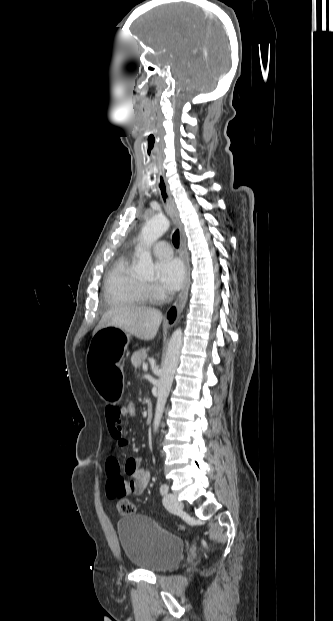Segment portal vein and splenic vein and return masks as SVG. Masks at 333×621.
<instances>
[{
  "instance_id": "portal-vein-and-splenic-vein-1",
  "label": "portal vein and splenic vein",
  "mask_w": 333,
  "mask_h": 621,
  "mask_svg": "<svg viewBox=\"0 0 333 621\" xmlns=\"http://www.w3.org/2000/svg\"><path fill=\"white\" fill-rule=\"evenodd\" d=\"M142 368H143L144 371H147L148 370V365L147 364H143Z\"/></svg>"
}]
</instances>
